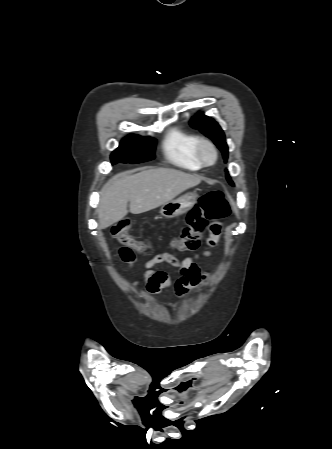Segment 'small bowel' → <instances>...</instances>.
Segmentation results:
<instances>
[{"instance_id": "1", "label": "small bowel", "mask_w": 332, "mask_h": 449, "mask_svg": "<svg viewBox=\"0 0 332 449\" xmlns=\"http://www.w3.org/2000/svg\"><path fill=\"white\" fill-rule=\"evenodd\" d=\"M214 225L217 227V231L213 232L211 230L207 239V244L210 248L216 245L220 234V224L215 223ZM211 256L212 251L210 249L203 250L182 260L170 252L157 254L145 263L143 277L140 281L135 282V286L143 284L147 291L153 295H158L162 290L173 287L178 296L185 297L206 278V274L201 271L197 261ZM161 263H168L176 267L180 271L181 277L173 283L167 272L154 268Z\"/></svg>"}]
</instances>
